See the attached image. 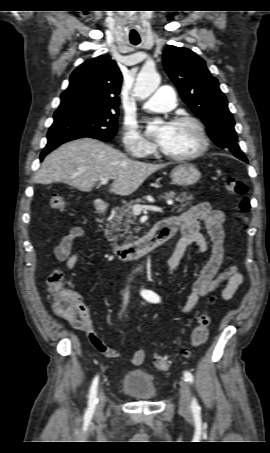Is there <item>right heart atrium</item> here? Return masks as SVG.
<instances>
[{
  "label": "right heart atrium",
  "instance_id": "right-heart-atrium-1",
  "mask_svg": "<svg viewBox=\"0 0 270 453\" xmlns=\"http://www.w3.org/2000/svg\"><path fill=\"white\" fill-rule=\"evenodd\" d=\"M123 144L125 150L135 157L148 156L154 150L153 145L142 136L134 124L125 126Z\"/></svg>",
  "mask_w": 270,
  "mask_h": 453
}]
</instances>
